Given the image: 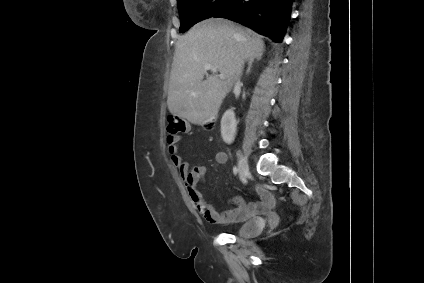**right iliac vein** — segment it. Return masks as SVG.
I'll list each match as a JSON object with an SVG mask.
<instances>
[{"label":"right iliac vein","instance_id":"1","mask_svg":"<svg viewBox=\"0 0 424 283\" xmlns=\"http://www.w3.org/2000/svg\"><path fill=\"white\" fill-rule=\"evenodd\" d=\"M238 171L242 179H245L249 172L248 162L245 156L240 155L238 160Z\"/></svg>","mask_w":424,"mask_h":283}]
</instances>
